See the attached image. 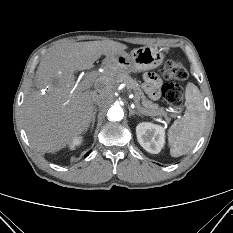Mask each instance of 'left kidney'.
Returning <instances> with one entry per match:
<instances>
[{
  "instance_id": "obj_1",
  "label": "left kidney",
  "mask_w": 233,
  "mask_h": 233,
  "mask_svg": "<svg viewBox=\"0 0 233 233\" xmlns=\"http://www.w3.org/2000/svg\"><path fill=\"white\" fill-rule=\"evenodd\" d=\"M139 144L147 152L158 154L164 147L165 130L162 126L153 123L142 122L136 127Z\"/></svg>"
}]
</instances>
